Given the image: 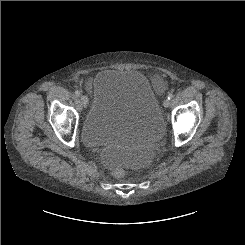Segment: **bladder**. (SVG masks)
Returning <instances> with one entry per match:
<instances>
[{
	"label": "bladder",
	"mask_w": 245,
	"mask_h": 245,
	"mask_svg": "<svg viewBox=\"0 0 245 245\" xmlns=\"http://www.w3.org/2000/svg\"><path fill=\"white\" fill-rule=\"evenodd\" d=\"M164 128L159 100L137 70L105 69L93 83V101L82 122L86 146L130 147L156 138Z\"/></svg>",
	"instance_id": "obj_1"
}]
</instances>
